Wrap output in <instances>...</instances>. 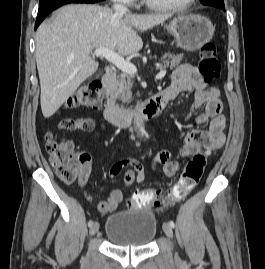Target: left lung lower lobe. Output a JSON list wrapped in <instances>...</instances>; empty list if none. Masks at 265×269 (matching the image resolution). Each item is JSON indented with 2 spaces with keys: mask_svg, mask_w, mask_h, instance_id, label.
<instances>
[{
  "mask_svg": "<svg viewBox=\"0 0 265 269\" xmlns=\"http://www.w3.org/2000/svg\"><path fill=\"white\" fill-rule=\"evenodd\" d=\"M208 6H212V7H216V8H219V9H222L225 11V7L224 5H221V4H217V3H209L207 4Z\"/></svg>",
  "mask_w": 265,
  "mask_h": 269,
  "instance_id": "obj_1",
  "label": "left lung lower lobe"
}]
</instances>
